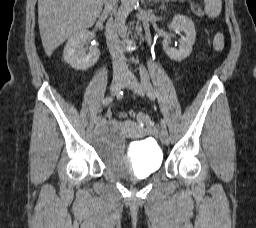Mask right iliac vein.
<instances>
[{"label":"right iliac vein","instance_id":"1","mask_svg":"<svg viewBox=\"0 0 256 228\" xmlns=\"http://www.w3.org/2000/svg\"><path fill=\"white\" fill-rule=\"evenodd\" d=\"M125 83V77L121 74H116L113 76L111 87H110V92L111 94L115 95L118 93L120 88L123 86ZM103 126V122H100L96 125V130H100Z\"/></svg>","mask_w":256,"mask_h":228}]
</instances>
